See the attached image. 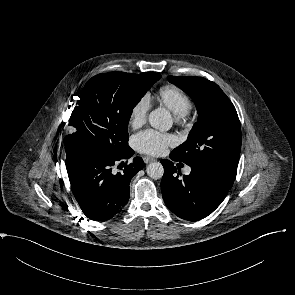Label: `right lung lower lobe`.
<instances>
[{"label": "right lung lower lobe", "instance_id": "obj_1", "mask_svg": "<svg viewBox=\"0 0 295 295\" xmlns=\"http://www.w3.org/2000/svg\"><path fill=\"white\" fill-rule=\"evenodd\" d=\"M133 154L130 147L119 156L89 152L66 165L72 193L87 218L94 221L111 219L127 204L130 181L143 168L144 161L135 157L118 173L113 167L119 162L124 164Z\"/></svg>", "mask_w": 295, "mask_h": 295}]
</instances>
